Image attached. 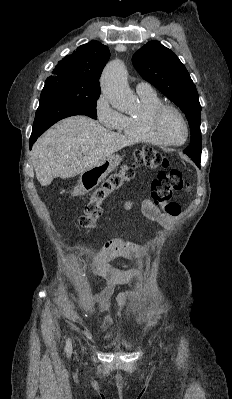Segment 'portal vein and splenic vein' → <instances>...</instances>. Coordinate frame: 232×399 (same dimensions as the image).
<instances>
[{"instance_id": "obj_1", "label": "portal vein and splenic vein", "mask_w": 232, "mask_h": 399, "mask_svg": "<svg viewBox=\"0 0 232 399\" xmlns=\"http://www.w3.org/2000/svg\"><path fill=\"white\" fill-rule=\"evenodd\" d=\"M89 148L87 146H84V148H81V154H86L88 152Z\"/></svg>"}]
</instances>
